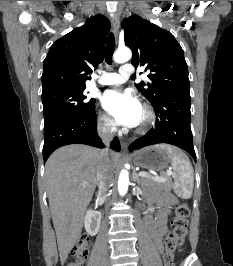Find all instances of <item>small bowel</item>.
I'll list each match as a JSON object with an SVG mask.
<instances>
[{
  "instance_id": "1",
  "label": "small bowel",
  "mask_w": 233,
  "mask_h": 266,
  "mask_svg": "<svg viewBox=\"0 0 233 266\" xmlns=\"http://www.w3.org/2000/svg\"><path fill=\"white\" fill-rule=\"evenodd\" d=\"M175 203L172 196L165 195L160 197L157 201V214L153 216L148 214L145 217V226L150 232L158 250H162L163 237L167 232V221L170 213V205Z\"/></svg>"
}]
</instances>
